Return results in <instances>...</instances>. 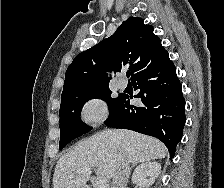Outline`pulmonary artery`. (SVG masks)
Segmentation results:
<instances>
[{
	"label": "pulmonary artery",
	"instance_id": "pulmonary-artery-1",
	"mask_svg": "<svg viewBox=\"0 0 224 188\" xmlns=\"http://www.w3.org/2000/svg\"><path fill=\"white\" fill-rule=\"evenodd\" d=\"M118 87L120 89H125L127 87V80L124 77L118 79Z\"/></svg>",
	"mask_w": 224,
	"mask_h": 188
}]
</instances>
